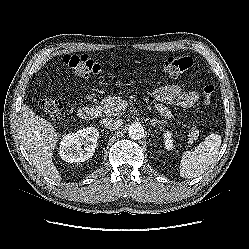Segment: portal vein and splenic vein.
Here are the masks:
<instances>
[{"instance_id":"1","label":"portal vein and splenic vein","mask_w":249,"mask_h":249,"mask_svg":"<svg viewBox=\"0 0 249 249\" xmlns=\"http://www.w3.org/2000/svg\"><path fill=\"white\" fill-rule=\"evenodd\" d=\"M125 107H126V102L123 101L122 104H121V109H122V108H125Z\"/></svg>"}]
</instances>
